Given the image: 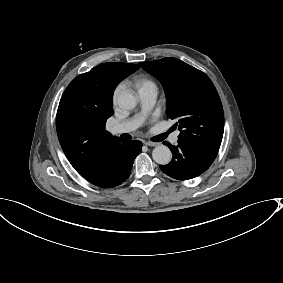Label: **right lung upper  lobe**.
Here are the masks:
<instances>
[{"mask_svg":"<svg viewBox=\"0 0 283 283\" xmlns=\"http://www.w3.org/2000/svg\"><path fill=\"white\" fill-rule=\"evenodd\" d=\"M139 69L136 64L108 62L80 74L59 103L56 128L61 147L74 169L84 175L125 141L105 124L113 115V93L120 81Z\"/></svg>","mask_w":283,"mask_h":283,"instance_id":"obj_1","label":"right lung upper lobe"}]
</instances>
